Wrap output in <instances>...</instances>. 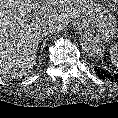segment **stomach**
Instances as JSON below:
<instances>
[{
    "label": "stomach",
    "mask_w": 118,
    "mask_h": 118,
    "mask_svg": "<svg viewBox=\"0 0 118 118\" xmlns=\"http://www.w3.org/2000/svg\"><path fill=\"white\" fill-rule=\"evenodd\" d=\"M96 31L105 41L112 40L117 28V21L111 14H101L96 19Z\"/></svg>",
    "instance_id": "0dacf381"
}]
</instances>
